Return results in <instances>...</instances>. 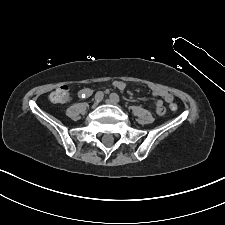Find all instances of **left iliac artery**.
<instances>
[{
    "mask_svg": "<svg viewBox=\"0 0 225 225\" xmlns=\"http://www.w3.org/2000/svg\"><path fill=\"white\" fill-rule=\"evenodd\" d=\"M110 98H112L113 100H115L116 102H119L120 101V98L119 96L116 94V93H112L110 95Z\"/></svg>",
    "mask_w": 225,
    "mask_h": 225,
    "instance_id": "left-iliac-artery-1",
    "label": "left iliac artery"
}]
</instances>
